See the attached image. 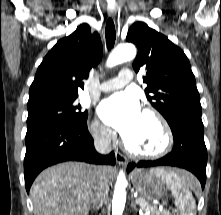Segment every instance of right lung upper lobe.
I'll list each match as a JSON object with an SVG mask.
<instances>
[{"label": "right lung upper lobe", "mask_w": 221, "mask_h": 215, "mask_svg": "<svg viewBox=\"0 0 221 215\" xmlns=\"http://www.w3.org/2000/svg\"><path fill=\"white\" fill-rule=\"evenodd\" d=\"M102 43L97 32L91 34L83 24L59 40L37 69L29 91L28 106L51 101L76 99L83 79L102 58Z\"/></svg>", "instance_id": "obj_1"}]
</instances>
